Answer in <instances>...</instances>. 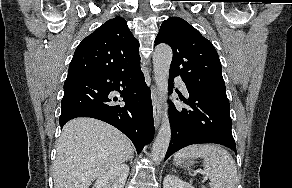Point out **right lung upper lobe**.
<instances>
[{"label":"right lung upper lobe","instance_id":"obj_1","mask_svg":"<svg viewBox=\"0 0 292 188\" xmlns=\"http://www.w3.org/2000/svg\"><path fill=\"white\" fill-rule=\"evenodd\" d=\"M139 42L122 17L108 20L78 45L68 74L126 72L140 65Z\"/></svg>","mask_w":292,"mask_h":188}]
</instances>
